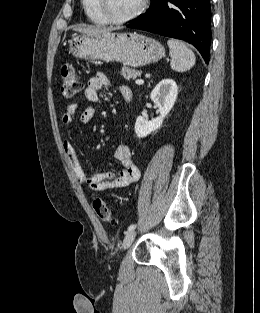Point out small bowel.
Returning <instances> with one entry per match:
<instances>
[{
    "instance_id": "1",
    "label": "small bowel",
    "mask_w": 260,
    "mask_h": 313,
    "mask_svg": "<svg viewBox=\"0 0 260 313\" xmlns=\"http://www.w3.org/2000/svg\"><path fill=\"white\" fill-rule=\"evenodd\" d=\"M109 84L110 80L104 73H97L89 79L85 89V96L91 104L80 115V121L83 124H88L93 120L95 116L94 104L99 100V92ZM119 92L124 102L132 100V91L128 86H121ZM76 111L77 105L69 104L62 116L63 124L70 125L73 122ZM63 148L76 179L82 186L91 191L102 192L126 187L135 183L140 177V170L132 158L130 147L126 144L117 145L114 151V157L121 163V170L96 174H87L84 171L78 161L75 147L71 141L64 140Z\"/></svg>"
}]
</instances>
